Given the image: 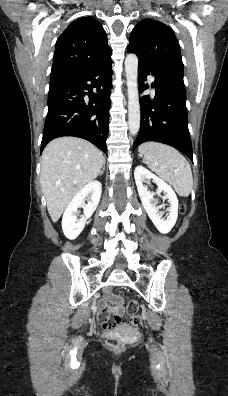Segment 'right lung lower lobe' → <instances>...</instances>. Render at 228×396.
I'll return each instance as SVG.
<instances>
[{
  "label": "right lung lower lobe",
  "mask_w": 228,
  "mask_h": 396,
  "mask_svg": "<svg viewBox=\"0 0 228 396\" xmlns=\"http://www.w3.org/2000/svg\"><path fill=\"white\" fill-rule=\"evenodd\" d=\"M111 64L107 59L94 68L50 79L41 151L54 138L75 136L107 153Z\"/></svg>",
  "instance_id": "1"
}]
</instances>
